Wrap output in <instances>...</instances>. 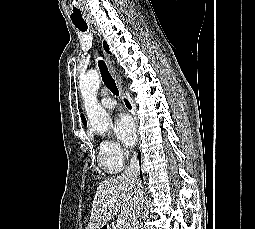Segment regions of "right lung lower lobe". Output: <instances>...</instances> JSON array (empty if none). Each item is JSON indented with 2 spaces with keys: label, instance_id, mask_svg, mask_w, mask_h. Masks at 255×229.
Here are the masks:
<instances>
[{
  "label": "right lung lower lobe",
  "instance_id": "obj_1",
  "mask_svg": "<svg viewBox=\"0 0 255 229\" xmlns=\"http://www.w3.org/2000/svg\"><path fill=\"white\" fill-rule=\"evenodd\" d=\"M125 102H126L127 107L130 108V104L128 103V101L125 100ZM140 159H141V154H140V152H139V161H140Z\"/></svg>",
  "mask_w": 255,
  "mask_h": 229
}]
</instances>
